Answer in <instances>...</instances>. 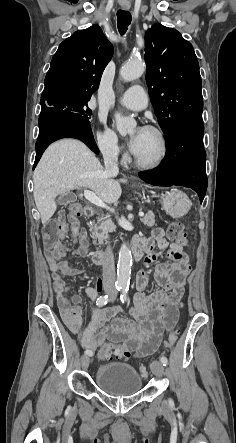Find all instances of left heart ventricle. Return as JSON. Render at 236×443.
Here are the masks:
<instances>
[{"mask_svg": "<svg viewBox=\"0 0 236 443\" xmlns=\"http://www.w3.org/2000/svg\"><path fill=\"white\" fill-rule=\"evenodd\" d=\"M159 152L160 144L156 135L150 130L146 129L139 149L135 154L141 159L153 160L158 156Z\"/></svg>", "mask_w": 236, "mask_h": 443, "instance_id": "obj_1", "label": "left heart ventricle"}]
</instances>
